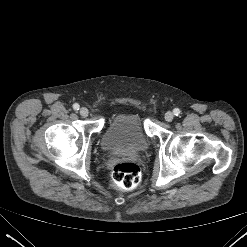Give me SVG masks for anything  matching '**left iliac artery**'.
Masks as SVG:
<instances>
[{
  "label": "left iliac artery",
  "mask_w": 247,
  "mask_h": 247,
  "mask_svg": "<svg viewBox=\"0 0 247 247\" xmlns=\"http://www.w3.org/2000/svg\"><path fill=\"white\" fill-rule=\"evenodd\" d=\"M173 112H174V115H176V116H178L179 114H180V109L179 108H175L174 110H173Z\"/></svg>",
  "instance_id": "1"
}]
</instances>
